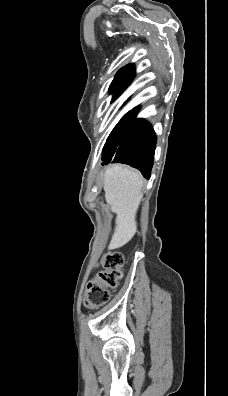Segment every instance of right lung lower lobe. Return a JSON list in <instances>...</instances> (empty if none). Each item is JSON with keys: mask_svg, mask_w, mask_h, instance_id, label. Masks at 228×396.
<instances>
[{"mask_svg": "<svg viewBox=\"0 0 228 396\" xmlns=\"http://www.w3.org/2000/svg\"><path fill=\"white\" fill-rule=\"evenodd\" d=\"M139 108L128 112L115 126L103 149V165L124 163L150 178L156 146V135L151 125L135 119Z\"/></svg>", "mask_w": 228, "mask_h": 396, "instance_id": "obj_1", "label": "right lung lower lobe"}]
</instances>
